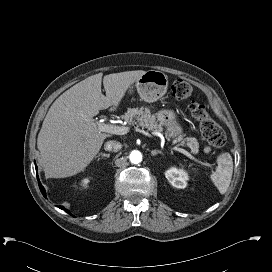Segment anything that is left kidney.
<instances>
[{
  "label": "left kidney",
  "mask_w": 272,
  "mask_h": 272,
  "mask_svg": "<svg viewBox=\"0 0 272 272\" xmlns=\"http://www.w3.org/2000/svg\"><path fill=\"white\" fill-rule=\"evenodd\" d=\"M165 177L174 187L179 189L185 188L187 186V180H189L187 172L183 169H177L176 167L168 169L165 172Z\"/></svg>",
  "instance_id": "1"
}]
</instances>
